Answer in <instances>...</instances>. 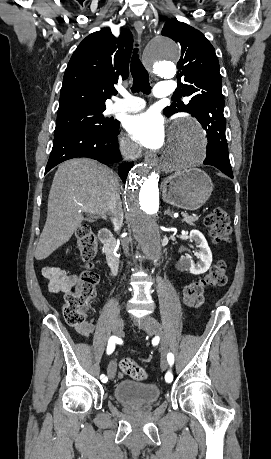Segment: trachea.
<instances>
[{
    "label": "trachea",
    "mask_w": 271,
    "mask_h": 459,
    "mask_svg": "<svg viewBox=\"0 0 271 459\" xmlns=\"http://www.w3.org/2000/svg\"><path fill=\"white\" fill-rule=\"evenodd\" d=\"M130 71L133 77V85H132L131 91L133 93L143 92L145 94H149L151 92V86L149 83V74L146 68L141 63L137 48L134 49V52L131 58Z\"/></svg>",
    "instance_id": "1"
}]
</instances>
